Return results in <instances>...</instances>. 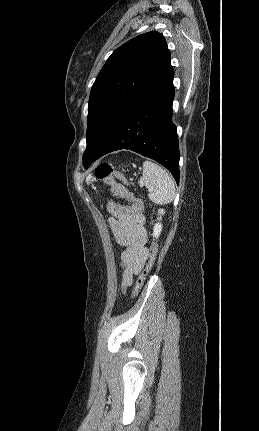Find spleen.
Returning a JSON list of instances; mask_svg holds the SVG:
<instances>
[{"label": "spleen", "mask_w": 259, "mask_h": 431, "mask_svg": "<svg viewBox=\"0 0 259 431\" xmlns=\"http://www.w3.org/2000/svg\"><path fill=\"white\" fill-rule=\"evenodd\" d=\"M143 180L149 192L148 197L152 202L164 205L173 200L174 181L158 164L148 160L143 162Z\"/></svg>", "instance_id": "3e777b00"}]
</instances>
